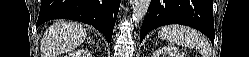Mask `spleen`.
Wrapping results in <instances>:
<instances>
[{
  "label": "spleen",
  "mask_w": 249,
  "mask_h": 57,
  "mask_svg": "<svg viewBox=\"0 0 249 57\" xmlns=\"http://www.w3.org/2000/svg\"><path fill=\"white\" fill-rule=\"evenodd\" d=\"M158 36L170 43L197 49L203 57H210L208 42L205 37L190 27L167 25L162 27Z\"/></svg>",
  "instance_id": "spleen-1"
}]
</instances>
